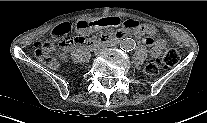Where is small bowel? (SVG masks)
Returning <instances> with one entry per match:
<instances>
[{"mask_svg":"<svg viewBox=\"0 0 207 123\" xmlns=\"http://www.w3.org/2000/svg\"><path fill=\"white\" fill-rule=\"evenodd\" d=\"M123 24V19L121 17H111V18H100L96 22H86L85 20L77 21V28L82 32H88L92 27L97 28H116ZM126 33H133L136 38L143 40L146 45L151 46V55L154 58L160 56L162 50L164 49L166 43L162 38L154 37L156 30L154 27L149 25H142L139 20L129 19L125 22L124 28L119 30L114 37L125 36ZM109 37V36H103ZM111 37V38H114Z\"/></svg>","mask_w":207,"mask_h":123,"instance_id":"1","label":"small bowel"}]
</instances>
